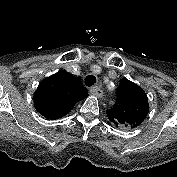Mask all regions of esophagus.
I'll use <instances>...</instances> for the list:
<instances>
[{
	"label": "esophagus",
	"instance_id": "1",
	"mask_svg": "<svg viewBox=\"0 0 177 177\" xmlns=\"http://www.w3.org/2000/svg\"><path fill=\"white\" fill-rule=\"evenodd\" d=\"M90 93L98 98L103 96V91L98 86H92L90 88Z\"/></svg>",
	"mask_w": 177,
	"mask_h": 177
}]
</instances>
